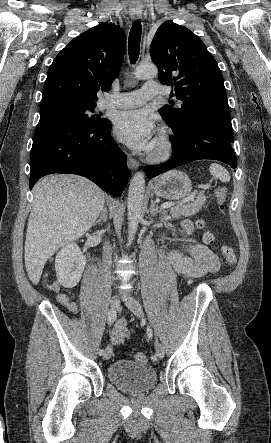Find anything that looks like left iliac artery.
<instances>
[{
	"mask_svg": "<svg viewBox=\"0 0 271 443\" xmlns=\"http://www.w3.org/2000/svg\"><path fill=\"white\" fill-rule=\"evenodd\" d=\"M152 336H153V331H152L151 327L148 326V327H147V339H148V340H151V339H152ZM151 360H152V361H156V360H157V356H156L155 354H152V355H151Z\"/></svg>",
	"mask_w": 271,
	"mask_h": 443,
	"instance_id": "left-iliac-artery-1",
	"label": "left iliac artery"
}]
</instances>
